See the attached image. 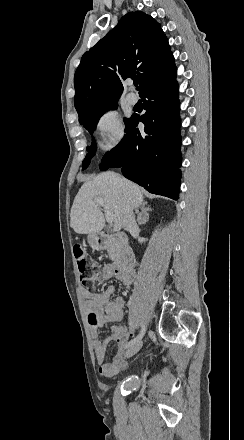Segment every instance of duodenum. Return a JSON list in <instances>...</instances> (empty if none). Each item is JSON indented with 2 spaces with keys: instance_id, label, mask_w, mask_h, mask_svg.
<instances>
[{
  "instance_id": "obj_1",
  "label": "duodenum",
  "mask_w": 244,
  "mask_h": 440,
  "mask_svg": "<svg viewBox=\"0 0 244 440\" xmlns=\"http://www.w3.org/2000/svg\"><path fill=\"white\" fill-rule=\"evenodd\" d=\"M94 244L102 250L115 248L119 251L120 265L128 270H135L137 264L134 252L127 249V241L123 235H111L108 233H97L92 238Z\"/></svg>"
}]
</instances>
